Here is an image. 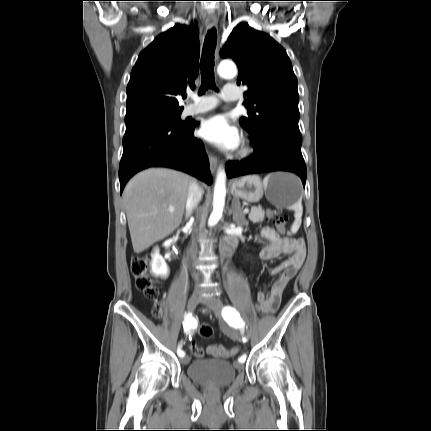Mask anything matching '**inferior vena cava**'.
Listing matches in <instances>:
<instances>
[{
  "instance_id": "inferior-vena-cava-1",
  "label": "inferior vena cava",
  "mask_w": 431,
  "mask_h": 431,
  "mask_svg": "<svg viewBox=\"0 0 431 431\" xmlns=\"http://www.w3.org/2000/svg\"><path fill=\"white\" fill-rule=\"evenodd\" d=\"M202 195H203L202 187L196 181H191L188 187V197L186 201L187 215H190L192 211L196 208V206L198 205V203L202 198ZM189 252L192 257H196L197 249L194 241L191 242ZM193 277L195 281L198 283L201 278V274L198 272H194Z\"/></svg>"
}]
</instances>
